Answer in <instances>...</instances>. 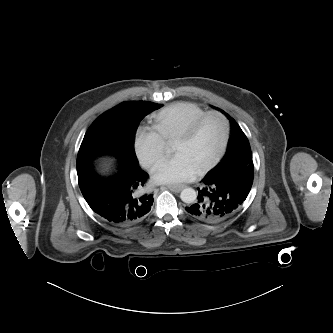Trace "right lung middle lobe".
Returning a JSON list of instances; mask_svg holds the SVG:
<instances>
[{
  "label": "right lung middle lobe",
  "mask_w": 333,
  "mask_h": 333,
  "mask_svg": "<svg viewBox=\"0 0 333 333\" xmlns=\"http://www.w3.org/2000/svg\"><path fill=\"white\" fill-rule=\"evenodd\" d=\"M162 106L147 101L123 102L99 116L87 130L77 159L112 155L138 165L133 137L141 120Z\"/></svg>",
  "instance_id": "right-lung-middle-lobe-1"
}]
</instances>
